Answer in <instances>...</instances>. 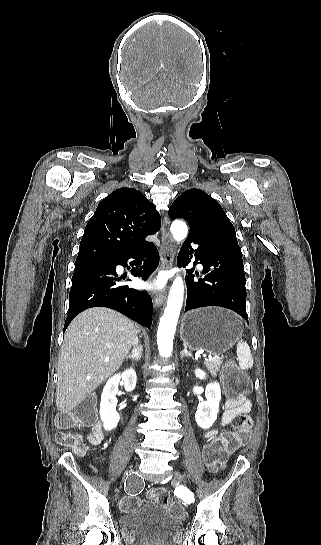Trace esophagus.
<instances>
[{
  "label": "esophagus",
  "mask_w": 321,
  "mask_h": 545,
  "mask_svg": "<svg viewBox=\"0 0 321 545\" xmlns=\"http://www.w3.org/2000/svg\"><path fill=\"white\" fill-rule=\"evenodd\" d=\"M166 222H167V217H165L164 219V225L161 231L160 257H161V269L163 270L171 269L173 261H174V256H175L174 242L172 240L171 235L167 231ZM165 299H166V291L158 293L154 299L155 306L161 305L165 301Z\"/></svg>",
  "instance_id": "obj_1"
}]
</instances>
